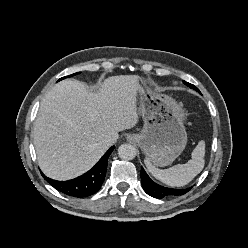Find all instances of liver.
Listing matches in <instances>:
<instances>
[{"mask_svg": "<svg viewBox=\"0 0 248 248\" xmlns=\"http://www.w3.org/2000/svg\"><path fill=\"white\" fill-rule=\"evenodd\" d=\"M139 76L104 80L97 92L77 80H64L44 96L34 123L37 160L45 175L73 179L91 169L108 146V136L138 122Z\"/></svg>", "mask_w": 248, "mask_h": 248, "instance_id": "obj_1", "label": "liver"}]
</instances>
